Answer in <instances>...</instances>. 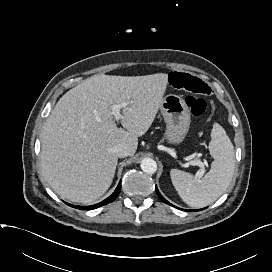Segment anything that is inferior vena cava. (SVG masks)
I'll list each match as a JSON object with an SVG mask.
<instances>
[{"label":"inferior vena cava","instance_id":"obj_1","mask_svg":"<svg viewBox=\"0 0 272 272\" xmlns=\"http://www.w3.org/2000/svg\"><path fill=\"white\" fill-rule=\"evenodd\" d=\"M112 152L120 158L129 156V148L125 143H120L112 148Z\"/></svg>","mask_w":272,"mask_h":272}]
</instances>
